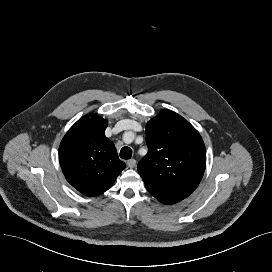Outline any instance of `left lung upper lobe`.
Segmentation results:
<instances>
[{"mask_svg":"<svg viewBox=\"0 0 272 272\" xmlns=\"http://www.w3.org/2000/svg\"><path fill=\"white\" fill-rule=\"evenodd\" d=\"M148 153L138 163L146 187L188 197L206 167V149L199 132L179 114L163 109L146 125Z\"/></svg>","mask_w":272,"mask_h":272,"instance_id":"1","label":"left lung upper lobe"}]
</instances>
